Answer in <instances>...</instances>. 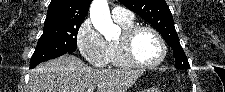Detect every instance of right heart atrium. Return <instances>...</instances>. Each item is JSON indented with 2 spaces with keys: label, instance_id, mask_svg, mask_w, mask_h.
<instances>
[{
  "label": "right heart atrium",
  "instance_id": "d8ad5b80",
  "mask_svg": "<svg viewBox=\"0 0 225 92\" xmlns=\"http://www.w3.org/2000/svg\"><path fill=\"white\" fill-rule=\"evenodd\" d=\"M77 46L85 60L94 67H105L110 62L108 42L103 38L90 19L80 25Z\"/></svg>",
  "mask_w": 225,
  "mask_h": 92
}]
</instances>
